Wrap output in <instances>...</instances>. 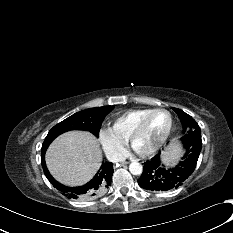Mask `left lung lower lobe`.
<instances>
[{
  "label": "left lung lower lobe",
  "instance_id": "0a47b994",
  "mask_svg": "<svg viewBox=\"0 0 233 233\" xmlns=\"http://www.w3.org/2000/svg\"><path fill=\"white\" fill-rule=\"evenodd\" d=\"M202 144L188 147L184 143L185 154L173 168H165L160 159V153L144 163L143 173L138 179L141 188L149 191H167L177 188L195 170Z\"/></svg>",
  "mask_w": 233,
  "mask_h": 233
}]
</instances>
